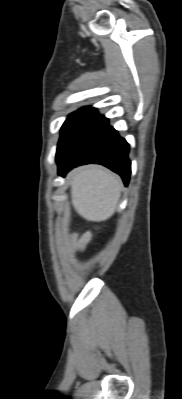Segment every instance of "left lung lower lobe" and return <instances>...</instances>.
I'll list each match as a JSON object with an SVG mask.
<instances>
[{
  "label": "left lung lower lobe",
  "instance_id": "left-lung-lower-lobe-1",
  "mask_svg": "<svg viewBox=\"0 0 182 399\" xmlns=\"http://www.w3.org/2000/svg\"><path fill=\"white\" fill-rule=\"evenodd\" d=\"M128 152L126 140L109 126L107 118L95 111L82 121L56 158L58 174L65 176L74 167L96 163L119 174L127 186L131 173Z\"/></svg>",
  "mask_w": 182,
  "mask_h": 399
}]
</instances>
